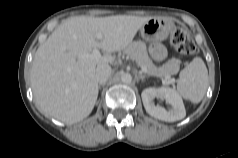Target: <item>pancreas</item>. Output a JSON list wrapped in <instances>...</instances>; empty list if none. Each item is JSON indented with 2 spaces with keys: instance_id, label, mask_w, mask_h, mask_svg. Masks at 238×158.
Returning <instances> with one entry per match:
<instances>
[{
  "instance_id": "1",
  "label": "pancreas",
  "mask_w": 238,
  "mask_h": 158,
  "mask_svg": "<svg viewBox=\"0 0 238 158\" xmlns=\"http://www.w3.org/2000/svg\"><path fill=\"white\" fill-rule=\"evenodd\" d=\"M123 54L129 56L135 60L137 65L141 68H147V74L149 76H155L161 78L163 84L168 85L172 83L171 75L174 73L176 62L174 60L164 64L163 66L157 67L150 59L146 44L142 41L132 42L124 50Z\"/></svg>"
}]
</instances>
